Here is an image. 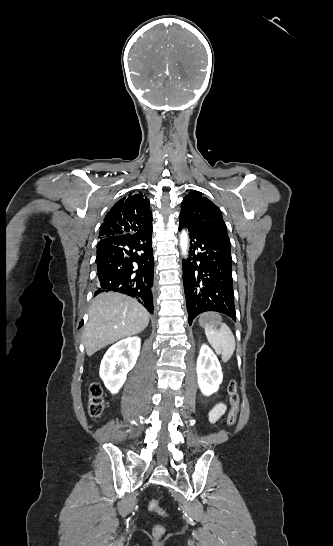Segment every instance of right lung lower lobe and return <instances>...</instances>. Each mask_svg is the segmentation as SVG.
Returning a JSON list of instances; mask_svg holds the SVG:
<instances>
[{
  "mask_svg": "<svg viewBox=\"0 0 333 546\" xmlns=\"http://www.w3.org/2000/svg\"><path fill=\"white\" fill-rule=\"evenodd\" d=\"M152 227L126 236L116 235L97 244V290L120 292L135 297L153 313L154 259L151 246Z\"/></svg>",
  "mask_w": 333,
  "mask_h": 546,
  "instance_id": "obj_1",
  "label": "right lung lower lobe"
}]
</instances>
